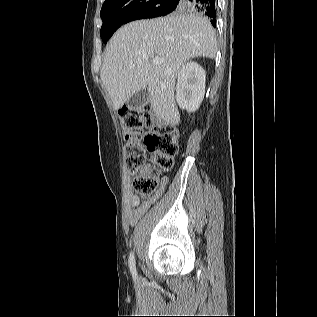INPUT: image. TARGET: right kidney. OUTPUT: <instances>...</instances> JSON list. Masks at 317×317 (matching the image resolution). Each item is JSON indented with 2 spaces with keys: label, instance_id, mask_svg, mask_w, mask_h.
Masks as SVG:
<instances>
[{
  "label": "right kidney",
  "instance_id": "1",
  "mask_svg": "<svg viewBox=\"0 0 317 317\" xmlns=\"http://www.w3.org/2000/svg\"><path fill=\"white\" fill-rule=\"evenodd\" d=\"M205 70L196 62L183 65L178 73L176 100L180 108L197 110L205 94Z\"/></svg>",
  "mask_w": 317,
  "mask_h": 317
}]
</instances>
